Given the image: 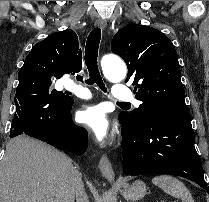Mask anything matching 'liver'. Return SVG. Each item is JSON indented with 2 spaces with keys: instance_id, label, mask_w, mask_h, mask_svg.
<instances>
[{
  "instance_id": "obj_1",
  "label": "liver",
  "mask_w": 209,
  "mask_h": 202,
  "mask_svg": "<svg viewBox=\"0 0 209 202\" xmlns=\"http://www.w3.org/2000/svg\"><path fill=\"white\" fill-rule=\"evenodd\" d=\"M79 171L53 147L21 135L0 164V202H74Z\"/></svg>"
}]
</instances>
